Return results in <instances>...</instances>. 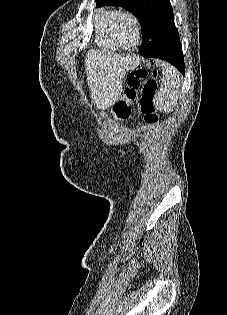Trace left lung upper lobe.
Listing matches in <instances>:
<instances>
[{
    "mask_svg": "<svg viewBox=\"0 0 227 315\" xmlns=\"http://www.w3.org/2000/svg\"><path fill=\"white\" fill-rule=\"evenodd\" d=\"M96 4L121 6L133 13L141 24L142 40H152L156 49L181 47L169 0H96Z\"/></svg>",
    "mask_w": 227,
    "mask_h": 315,
    "instance_id": "left-lung-upper-lobe-1",
    "label": "left lung upper lobe"
}]
</instances>
